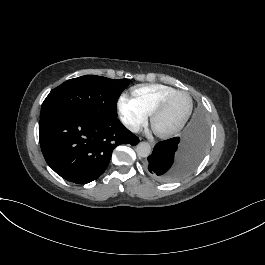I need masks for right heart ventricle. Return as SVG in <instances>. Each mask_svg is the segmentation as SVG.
<instances>
[{"mask_svg":"<svg viewBox=\"0 0 265 265\" xmlns=\"http://www.w3.org/2000/svg\"><path fill=\"white\" fill-rule=\"evenodd\" d=\"M175 89L160 85L151 84L142 86L139 88H134L132 94L136 101L141 103L147 110L148 114H151L154 110L156 103L166 94Z\"/></svg>","mask_w":265,"mask_h":265,"instance_id":"obj_1","label":"right heart ventricle"}]
</instances>
